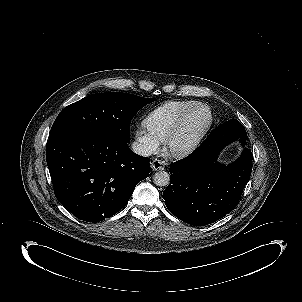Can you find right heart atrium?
Segmentation results:
<instances>
[{
	"mask_svg": "<svg viewBox=\"0 0 302 302\" xmlns=\"http://www.w3.org/2000/svg\"><path fill=\"white\" fill-rule=\"evenodd\" d=\"M161 145V139L148 133L144 127L136 130V148L142 155L156 152Z\"/></svg>",
	"mask_w": 302,
	"mask_h": 302,
	"instance_id": "d8ad5b80",
	"label": "right heart atrium"
}]
</instances>
